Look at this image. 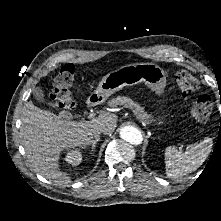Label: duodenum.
<instances>
[{
	"label": "duodenum",
	"mask_w": 221,
	"mask_h": 221,
	"mask_svg": "<svg viewBox=\"0 0 221 221\" xmlns=\"http://www.w3.org/2000/svg\"><path fill=\"white\" fill-rule=\"evenodd\" d=\"M96 101L97 100L95 98H90L86 103L87 107L93 106L96 103Z\"/></svg>",
	"instance_id": "obj_1"
}]
</instances>
